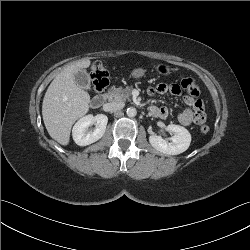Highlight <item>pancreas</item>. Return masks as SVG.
<instances>
[{"instance_id":"cf45deb5","label":"pancreas","mask_w":250,"mask_h":250,"mask_svg":"<svg viewBox=\"0 0 250 250\" xmlns=\"http://www.w3.org/2000/svg\"><path fill=\"white\" fill-rule=\"evenodd\" d=\"M107 95L109 101H130L131 89L129 87L124 89L112 87L109 89Z\"/></svg>"}]
</instances>
